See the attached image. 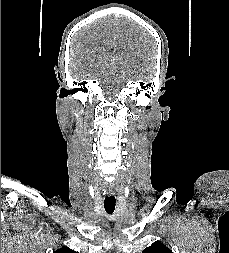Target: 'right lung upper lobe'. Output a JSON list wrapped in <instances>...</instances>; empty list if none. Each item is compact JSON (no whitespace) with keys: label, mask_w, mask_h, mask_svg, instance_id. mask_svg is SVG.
Wrapping results in <instances>:
<instances>
[{"label":"right lung upper lobe","mask_w":229,"mask_h":253,"mask_svg":"<svg viewBox=\"0 0 229 253\" xmlns=\"http://www.w3.org/2000/svg\"><path fill=\"white\" fill-rule=\"evenodd\" d=\"M54 253H77V252L68 247H63L57 251H54Z\"/></svg>","instance_id":"cb5924a9"}]
</instances>
